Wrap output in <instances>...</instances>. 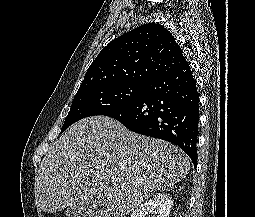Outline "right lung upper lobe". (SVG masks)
<instances>
[{
  "mask_svg": "<svg viewBox=\"0 0 255 217\" xmlns=\"http://www.w3.org/2000/svg\"><path fill=\"white\" fill-rule=\"evenodd\" d=\"M186 64L169 30L160 24H144L115 38L101 50L78 92L105 85H148Z\"/></svg>",
  "mask_w": 255,
  "mask_h": 217,
  "instance_id": "1",
  "label": "right lung upper lobe"
}]
</instances>
